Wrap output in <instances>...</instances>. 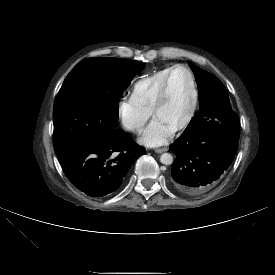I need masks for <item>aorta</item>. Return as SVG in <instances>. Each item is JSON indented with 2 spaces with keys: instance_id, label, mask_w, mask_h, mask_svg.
Returning <instances> with one entry per match:
<instances>
[{
  "instance_id": "762f6f07",
  "label": "aorta",
  "mask_w": 275,
  "mask_h": 275,
  "mask_svg": "<svg viewBox=\"0 0 275 275\" xmlns=\"http://www.w3.org/2000/svg\"><path fill=\"white\" fill-rule=\"evenodd\" d=\"M160 162L164 165H171L173 163V156L170 153H163L160 156Z\"/></svg>"
}]
</instances>
